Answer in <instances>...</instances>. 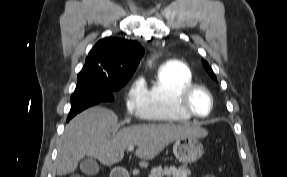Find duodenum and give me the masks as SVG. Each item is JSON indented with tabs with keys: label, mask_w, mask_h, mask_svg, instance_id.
I'll return each mask as SVG.
<instances>
[{
	"label": "duodenum",
	"mask_w": 287,
	"mask_h": 177,
	"mask_svg": "<svg viewBox=\"0 0 287 177\" xmlns=\"http://www.w3.org/2000/svg\"><path fill=\"white\" fill-rule=\"evenodd\" d=\"M111 177H129V175L122 167H118L113 171Z\"/></svg>",
	"instance_id": "1"
}]
</instances>
